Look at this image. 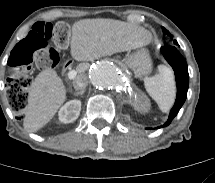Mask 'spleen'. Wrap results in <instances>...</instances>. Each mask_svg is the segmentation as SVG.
I'll return each mask as SVG.
<instances>
[{"label": "spleen", "mask_w": 215, "mask_h": 183, "mask_svg": "<svg viewBox=\"0 0 215 183\" xmlns=\"http://www.w3.org/2000/svg\"><path fill=\"white\" fill-rule=\"evenodd\" d=\"M144 85L160 110L167 112L173 105L176 92L172 70L167 66L158 67V73L144 78Z\"/></svg>", "instance_id": "obj_1"}]
</instances>
